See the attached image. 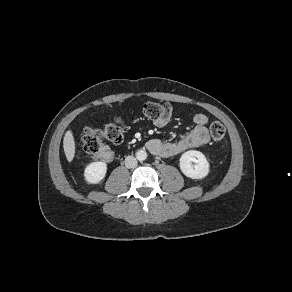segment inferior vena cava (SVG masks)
Instances as JSON below:
<instances>
[{
    "mask_svg": "<svg viewBox=\"0 0 292 292\" xmlns=\"http://www.w3.org/2000/svg\"><path fill=\"white\" fill-rule=\"evenodd\" d=\"M125 166L127 168H134L135 166H137V159L133 156H127L125 158Z\"/></svg>",
    "mask_w": 292,
    "mask_h": 292,
    "instance_id": "1",
    "label": "inferior vena cava"
}]
</instances>
